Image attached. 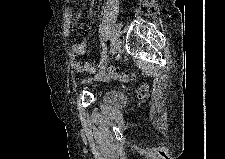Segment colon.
<instances>
[{"label": "colon", "mask_w": 225, "mask_h": 159, "mask_svg": "<svg viewBox=\"0 0 225 159\" xmlns=\"http://www.w3.org/2000/svg\"><path fill=\"white\" fill-rule=\"evenodd\" d=\"M85 68L90 73H96L101 71V80L102 81H109V80H116L123 83H128L133 80V74L131 72H122L118 69L114 68H103L99 65H96L92 61H87L85 63ZM148 89L146 85L141 86L138 91V95L140 98H145L147 95Z\"/></svg>", "instance_id": "obj_1"}]
</instances>
